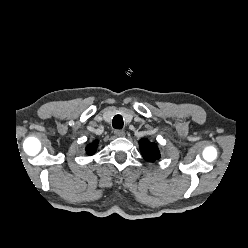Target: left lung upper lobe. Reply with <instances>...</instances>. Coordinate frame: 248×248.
Instances as JSON below:
<instances>
[{
	"mask_svg": "<svg viewBox=\"0 0 248 248\" xmlns=\"http://www.w3.org/2000/svg\"><path fill=\"white\" fill-rule=\"evenodd\" d=\"M139 147L145 160L154 162L160 158V152L155 143H151L147 139H142L139 141Z\"/></svg>",
	"mask_w": 248,
	"mask_h": 248,
	"instance_id": "1",
	"label": "left lung upper lobe"
}]
</instances>
